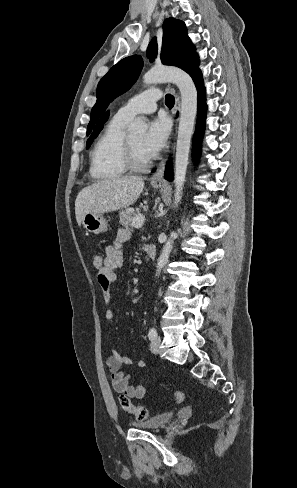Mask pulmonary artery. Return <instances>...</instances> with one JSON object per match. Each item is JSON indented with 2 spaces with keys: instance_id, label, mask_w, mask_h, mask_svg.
<instances>
[{
  "instance_id": "pulmonary-artery-1",
  "label": "pulmonary artery",
  "mask_w": 297,
  "mask_h": 488,
  "mask_svg": "<svg viewBox=\"0 0 297 488\" xmlns=\"http://www.w3.org/2000/svg\"><path fill=\"white\" fill-rule=\"evenodd\" d=\"M161 96L158 88H151L131 97L117 112V115L131 119L137 114H149L156 110Z\"/></svg>"
}]
</instances>
